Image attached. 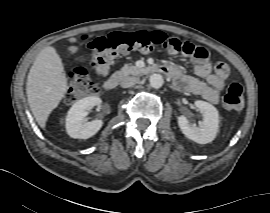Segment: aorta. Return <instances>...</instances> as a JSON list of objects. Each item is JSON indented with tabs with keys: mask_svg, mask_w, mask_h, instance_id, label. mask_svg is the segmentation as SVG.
<instances>
[{
	"mask_svg": "<svg viewBox=\"0 0 270 213\" xmlns=\"http://www.w3.org/2000/svg\"><path fill=\"white\" fill-rule=\"evenodd\" d=\"M149 82L151 87L158 89L163 86L164 79L161 74L155 73L150 76Z\"/></svg>",
	"mask_w": 270,
	"mask_h": 213,
	"instance_id": "obj_1",
	"label": "aorta"
}]
</instances>
